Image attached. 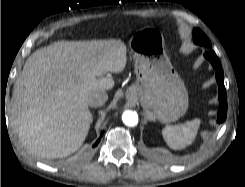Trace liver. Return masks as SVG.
I'll return each mask as SVG.
<instances>
[{
    "label": "liver",
    "instance_id": "6515ba94",
    "mask_svg": "<svg viewBox=\"0 0 245 187\" xmlns=\"http://www.w3.org/2000/svg\"><path fill=\"white\" fill-rule=\"evenodd\" d=\"M116 39L57 41L33 52L17 77L10 103L13 128L21 144L42 158H62L83 144L92 123L87 99L111 90L127 61Z\"/></svg>",
    "mask_w": 245,
    "mask_h": 187
}]
</instances>
